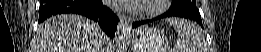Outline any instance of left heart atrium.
<instances>
[{
  "instance_id": "39dd6f15",
  "label": "left heart atrium",
  "mask_w": 261,
  "mask_h": 52,
  "mask_svg": "<svg viewBox=\"0 0 261 52\" xmlns=\"http://www.w3.org/2000/svg\"><path fill=\"white\" fill-rule=\"evenodd\" d=\"M143 2H145V0H113L112 7L134 10Z\"/></svg>"
}]
</instances>
